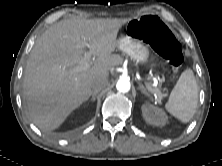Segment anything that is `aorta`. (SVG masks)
Instances as JSON below:
<instances>
[{
  "label": "aorta",
  "mask_w": 222,
  "mask_h": 166,
  "mask_svg": "<svg viewBox=\"0 0 222 166\" xmlns=\"http://www.w3.org/2000/svg\"><path fill=\"white\" fill-rule=\"evenodd\" d=\"M130 82L127 79H119L117 84H116V88L119 92L121 93H126L130 90Z\"/></svg>",
  "instance_id": "1"
}]
</instances>
